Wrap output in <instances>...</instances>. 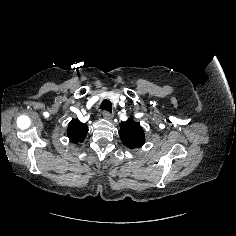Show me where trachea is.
<instances>
[{
	"label": "trachea",
	"instance_id": "obj_1",
	"mask_svg": "<svg viewBox=\"0 0 236 236\" xmlns=\"http://www.w3.org/2000/svg\"><path fill=\"white\" fill-rule=\"evenodd\" d=\"M100 109L102 110H106L108 112L112 111V103L109 100H103L101 105H100Z\"/></svg>",
	"mask_w": 236,
	"mask_h": 236
}]
</instances>
